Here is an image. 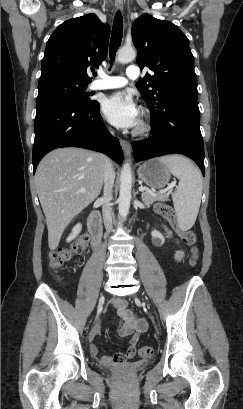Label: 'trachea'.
Returning a JSON list of instances; mask_svg holds the SVG:
<instances>
[{
	"label": "trachea",
	"mask_w": 243,
	"mask_h": 409,
	"mask_svg": "<svg viewBox=\"0 0 243 409\" xmlns=\"http://www.w3.org/2000/svg\"><path fill=\"white\" fill-rule=\"evenodd\" d=\"M122 37H123V18H122L121 13L118 11L114 18L111 40H110V47H109L111 64L113 60L115 59L117 50L120 47Z\"/></svg>",
	"instance_id": "obj_1"
}]
</instances>
